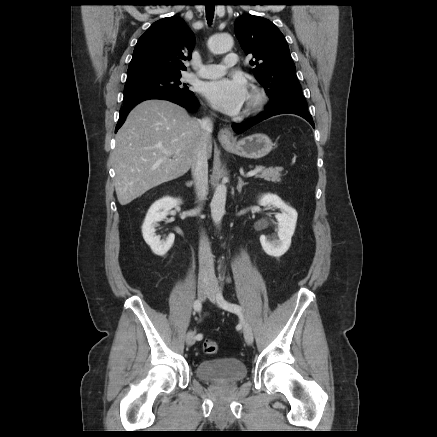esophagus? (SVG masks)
<instances>
[{"mask_svg":"<svg viewBox=\"0 0 437 437\" xmlns=\"http://www.w3.org/2000/svg\"><path fill=\"white\" fill-rule=\"evenodd\" d=\"M218 140L222 145H230L235 141L233 133L227 127L220 129L218 132Z\"/></svg>","mask_w":437,"mask_h":437,"instance_id":"esophagus-1","label":"esophagus"}]
</instances>
